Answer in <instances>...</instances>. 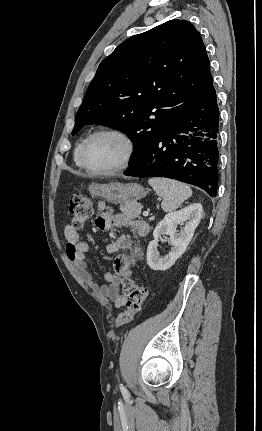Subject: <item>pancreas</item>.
<instances>
[{"instance_id":"obj_1","label":"pancreas","mask_w":262,"mask_h":431,"mask_svg":"<svg viewBox=\"0 0 262 431\" xmlns=\"http://www.w3.org/2000/svg\"><path fill=\"white\" fill-rule=\"evenodd\" d=\"M120 210L123 214H125L129 218L135 219L140 214L141 206L139 205L131 206V205L124 204L120 206Z\"/></svg>"}]
</instances>
